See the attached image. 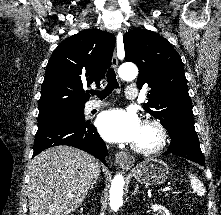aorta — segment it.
<instances>
[{
    "label": "aorta",
    "mask_w": 221,
    "mask_h": 215,
    "mask_svg": "<svg viewBox=\"0 0 221 215\" xmlns=\"http://www.w3.org/2000/svg\"><path fill=\"white\" fill-rule=\"evenodd\" d=\"M118 74L121 79L125 81L133 80L138 75V69L136 65L132 63H125L120 66ZM125 184L122 174H117L112 181L110 188V206L113 211H117L123 203V186Z\"/></svg>",
    "instance_id": "762f6f07"
}]
</instances>
